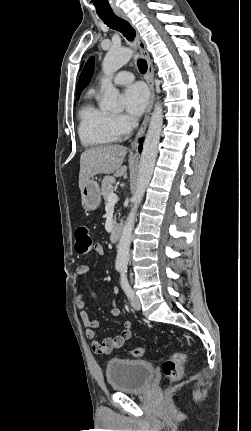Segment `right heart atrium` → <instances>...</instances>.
<instances>
[{"label":"right heart atrium","instance_id":"right-heart-atrium-1","mask_svg":"<svg viewBox=\"0 0 251 431\" xmlns=\"http://www.w3.org/2000/svg\"><path fill=\"white\" fill-rule=\"evenodd\" d=\"M111 127L118 137L126 135L132 128L133 122L125 115H111Z\"/></svg>","mask_w":251,"mask_h":431}]
</instances>
